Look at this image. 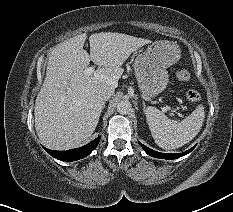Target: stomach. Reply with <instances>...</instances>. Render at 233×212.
Listing matches in <instances>:
<instances>
[{
  "instance_id": "obj_1",
  "label": "stomach",
  "mask_w": 233,
  "mask_h": 212,
  "mask_svg": "<svg viewBox=\"0 0 233 212\" xmlns=\"http://www.w3.org/2000/svg\"><path fill=\"white\" fill-rule=\"evenodd\" d=\"M181 57L175 42L160 40L151 43L135 60L134 70L140 91L147 97L161 93L168 84L167 68Z\"/></svg>"
}]
</instances>
